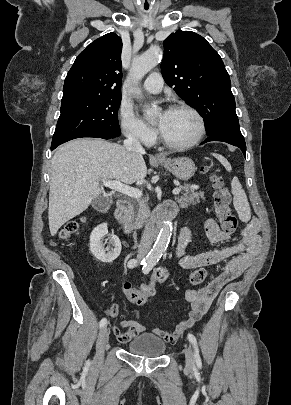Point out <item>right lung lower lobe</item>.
I'll use <instances>...</instances> for the list:
<instances>
[{
	"label": "right lung lower lobe",
	"instance_id": "1",
	"mask_svg": "<svg viewBox=\"0 0 291 405\" xmlns=\"http://www.w3.org/2000/svg\"><path fill=\"white\" fill-rule=\"evenodd\" d=\"M84 137H97V138H103V139H113L117 138L118 136H106V135H89V136H84ZM67 142V141H66ZM64 143V142H63ZM62 143L56 144L51 146V150L55 149L57 146H59Z\"/></svg>",
	"mask_w": 291,
	"mask_h": 405
}]
</instances>
